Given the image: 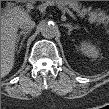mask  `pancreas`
<instances>
[{"instance_id":"cf45deb5","label":"pancreas","mask_w":109,"mask_h":109,"mask_svg":"<svg viewBox=\"0 0 109 109\" xmlns=\"http://www.w3.org/2000/svg\"><path fill=\"white\" fill-rule=\"evenodd\" d=\"M36 1H32L35 3ZM52 3L56 4L60 9H72L81 18L88 16V20L91 23L103 24L105 28L108 26V19L109 17L106 15L105 12L101 11L100 9H93L92 7H83L79 1H52Z\"/></svg>"}]
</instances>
